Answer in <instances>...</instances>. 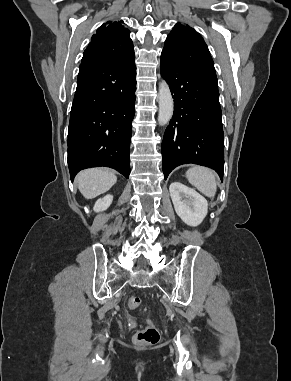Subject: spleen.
Instances as JSON below:
<instances>
[{"mask_svg": "<svg viewBox=\"0 0 291 381\" xmlns=\"http://www.w3.org/2000/svg\"><path fill=\"white\" fill-rule=\"evenodd\" d=\"M186 178L205 196L209 198L215 196L217 183L212 170L202 166H194L186 171Z\"/></svg>", "mask_w": 291, "mask_h": 381, "instance_id": "obj_1", "label": "spleen"}]
</instances>
